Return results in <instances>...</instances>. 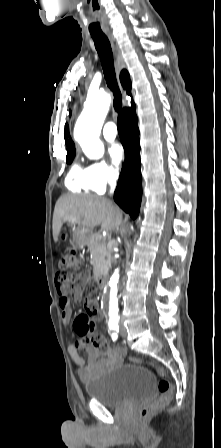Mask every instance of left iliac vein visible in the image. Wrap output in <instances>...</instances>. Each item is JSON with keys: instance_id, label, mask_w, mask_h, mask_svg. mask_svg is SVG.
Segmentation results:
<instances>
[{"instance_id": "left-iliac-vein-1", "label": "left iliac vein", "mask_w": 221, "mask_h": 448, "mask_svg": "<svg viewBox=\"0 0 221 448\" xmlns=\"http://www.w3.org/2000/svg\"><path fill=\"white\" fill-rule=\"evenodd\" d=\"M120 335H121L122 337H125V336H126V329H125V327L122 325V323H120Z\"/></svg>"}]
</instances>
